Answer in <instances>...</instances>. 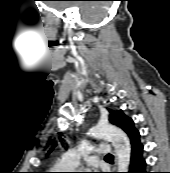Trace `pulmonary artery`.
<instances>
[{
  "label": "pulmonary artery",
  "instance_id": "obj_1",
  "mask_svg": "<svg viewBox=\"0 0 170 173\" xmlns=\"http://www.w3.org/2000/svg\"><path fill=\"white\" fill-rule=\"evenodd\" d=\"M113 149L109 145L105 146H94L88 142H81L76 147L71 149L66 154V160H67V167L74 168L76 167L81 158L88 154H95V155H109L112 154Z\"/></svg>",
  "mask_w": 170,
  "mask_h": 173
}]
</instances>
